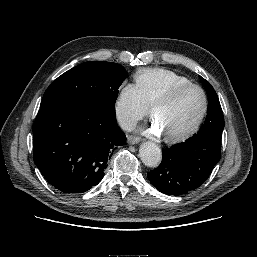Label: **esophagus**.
<instances>
[{
    "label": "esophagus",
    "mask_w": 257,
    "mask_h": 257,
    "mask_svg": "<svg viewBox=\"0 0 257 257\" xmlns=\"http://www.w3.org/2000/svg\"><path fill=\"white\" fill-rule=\"evenodd\" d=\"M141 141V138L137 136L128 135L127 136V142L129 144H138Z\"/></svg>",
    "instance_id": "obj_1"
}]
</instances>
